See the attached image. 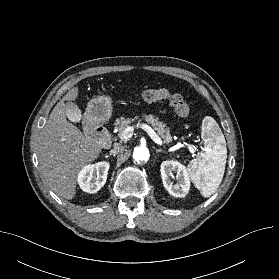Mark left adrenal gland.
Masks as SVG:
<instances>
[{
  "mask_svg": "<svg viewBox=\"0 0 279 279\" xmlns=\"http://www.w3.org/2000/svg\"><path fill=\"white\" fill-rule=\"evenodd\" d=\"M158 152H163V150H161V149H156V153H158Z\"/></svg>",
  "mask_w": 279,
  "mask_h": 279,
  "instance_id": "a2214340",
  "label": "left adrenal gland"
}]
</instances>
